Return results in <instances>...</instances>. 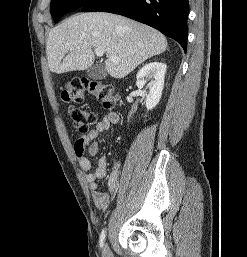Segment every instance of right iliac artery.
Listing matches in <instances>:
<instances>
[{"label":"right iliac artery","instance_id":"82829eb1","mask_svg":"<svg viewBox=\"0 0 247 257\" xmlns=\"http://www.w3.org/2000/svg\"><path fill=\"white\" fill-rule=\"evenodd\" d=\"M105 236H106V230H102L101 235H100V247H103L104 244V240H105Z\"/></svg>","mask_w":247,"mask_h":257}]
</instances>
